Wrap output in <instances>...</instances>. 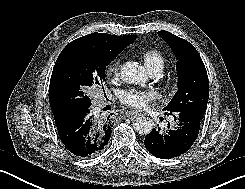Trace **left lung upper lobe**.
<instances>
[{
	"mask_svg": "<svg viewBox=\"0 0 245 189\" xmlns=\"http://www.w3.org/2000/svg\"><path fill=\"white\" fill-rule=\"evenodd\" d=\"M158 35L171 47L177 58L178 91L163 109L170 113L192 112L201 119L209 98V82L205 65L195 47L167 31Z\"/></svg>",
	"mask_w": 245,
	"mask_h": 189,
	"instance_id": "left-lung-upper-lobe-1",
	"label": "left lung upper lobe"
}]
</instances>
